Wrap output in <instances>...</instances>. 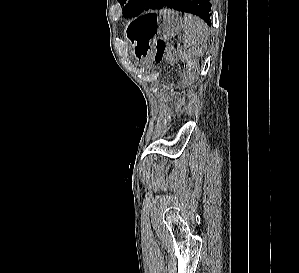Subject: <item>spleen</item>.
Returning a JSON list of instances; mask_svg holds the SVG:
<instances>
[{
	"instance_id": "1",
	"label": "spleen",
	"mask_w": 299,
	"mask_h": 273,
	"mask_svg": "<svg viewBox=\"0 0 299 273\" xmlns=\"http://www.w3.org/2000/svg\"><path fill=\"white\" fill-rule=\"evenodd\" d=\"M181 27L185 33L183 45L187 52L195 57H202L207 49L208 27L206 23L195 16L185 14Z\"/></svg>"
}]
</instances>
